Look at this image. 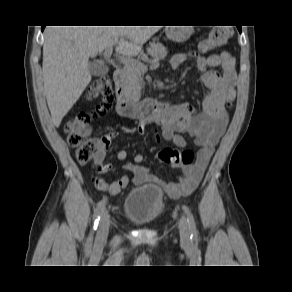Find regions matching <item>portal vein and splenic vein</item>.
Listing matches in <instances>:
<instances>
[{
    "label": "portal vein and splenic vein",
    "instance_id": "obj_1",
    "mask_svg": "<svg viewBox=\"0 0 292 292\" xmlns=\"http://www.w3.org/2000/svg\"><path fill=\"white\" fill-rule=\"evenodd\" d=\"M112 52H113V48L112 47L106 48L105 51H104V58L106 60H110ZM118 61L120 63H123L125 66L136 64V61L131 56L125 55V54H122L121 56H118ZM159 65H160L159 60H154V61H152L151 65H150V68L156 69V68L159 67ZM138 68H140L144 72L147 70V67L142 63H138Z\"/></svg>",
    "mask_w": 292,
    "mask_h": 292
}]
</instances>
